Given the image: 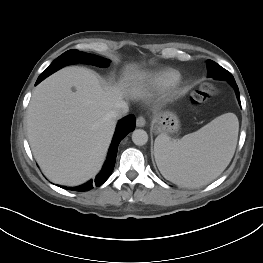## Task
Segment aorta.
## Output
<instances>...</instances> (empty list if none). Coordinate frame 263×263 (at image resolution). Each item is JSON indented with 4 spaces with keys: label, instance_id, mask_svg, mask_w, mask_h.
Instances as JSON below:
<instances>
[{
    "label": "aorta",
    "instance_id": "762f6f07",
    "mask_svg": "<svg viewBox=\"0 0 263 263\" xmlns=\"http://www.w3.org/2000/svg\"><path fill=\"white\" fill-rule=\"evenodd\" d=\"M132 141L135 145L143 146L148 141V134L143 129H136L132 133Z\"/></svg>",
    "mask_w": 263,
    "mask_h": 263
}]
</instances>
